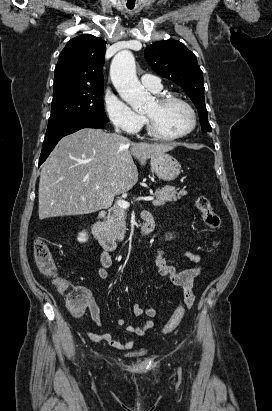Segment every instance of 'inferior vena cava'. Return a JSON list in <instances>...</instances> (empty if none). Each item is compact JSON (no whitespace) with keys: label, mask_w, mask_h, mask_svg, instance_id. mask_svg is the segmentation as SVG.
<instances>
[{"label":"inferior vena cava","mask_w":272,"mask_h":411,"mask_svg":"<svg viewBox=\"0 0 272 411\" xmlns=\"http://www.w3.org/2000/svg\"><path fill=\"white\" fill-rule=\"evenodd\" d=\"M115 131H116V132H119V129H118V127H117V126H116V129H115Z\"/></svg>","instance_id":"obj_1"}]
</instances>
